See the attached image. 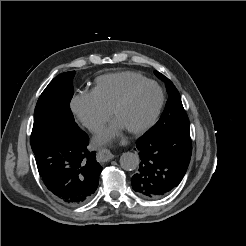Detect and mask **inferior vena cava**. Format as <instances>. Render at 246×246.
<instances>
[{
	"label": "inferior vena cava",
	"instance_id": "602c4592",
	"mask_svg": "<svg viewBox=\"0 0 246 246\" xmlns=\"http://www.w3.org/2000/svg\"><path fill=\"white\" fill-rule=\"evenodd\" d=\"M103 128V124L100 122H92L89 124V129L93 130V131H97Z\"/></svg>",
	"mask_w": 246,
	"mask_h": 246
}]
</instances>
